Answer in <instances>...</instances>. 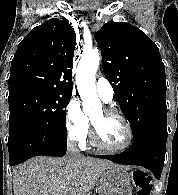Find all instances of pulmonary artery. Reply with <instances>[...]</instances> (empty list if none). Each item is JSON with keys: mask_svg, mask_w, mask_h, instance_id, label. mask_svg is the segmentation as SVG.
Wrapping results in <instances>:
<instances>
[{"mask_svg": "<svg viewBox=\"0 0 178 195\" xmlns=\"http://www.w3.org/2000/svg\"><path fill=\"white\" fill-rule=\"evenodd\" d=\"M96 90L99 97L105 103H111L114 98V89L111 83L104 77H100L96 82Z\"/></svg>", "mask_w": 178, "mask_h": 195, "instance_id": "e3ab8cb5", "label": "pulmonary artery"}]
</instances>
